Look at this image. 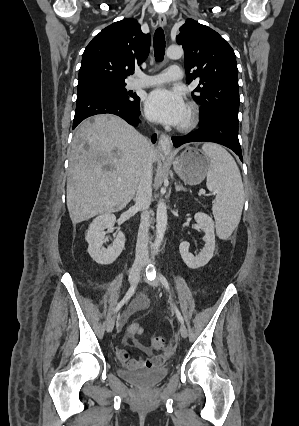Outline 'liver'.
<instances>
[{"mask_svg": "<svg viewBox=\"0 0 299 426\" xmlns=\"http://www.w3.org/2000/svg\"><path fill=\"white\" fill-rule=\"evenodd\" d=\"M87 144V148H85ZM149 153L148 141L120 117L81 123L69 154L67 208L73 224L122 210L132 200Z\"/></svg>", "mask_w": 299, "mask_h": 426, "instance_id": "6515ba94", "label": "liver"}]
</instances>
